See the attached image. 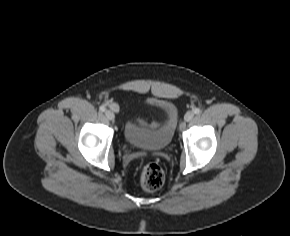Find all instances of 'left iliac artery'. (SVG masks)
Here are the masks:
<instances>
[{
    "instance_id": "left-iliac-artery-1",
    "label": "left iliac artery",
    "mask_w": 290,
    "mask_h": 236,
    "mask_svg": "<svg viewBox=\"0 0 290 236\" xmlns=\"http://www.w3.org/2000/svg\"><path fill=\"white\" fill-rule=\"evenodd\" d=\"M200 112H201V110H200L199 108H195V109H194V113H195V114H199Z\"/></svg>"
}]
</instances>
